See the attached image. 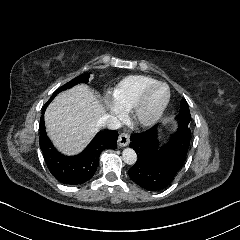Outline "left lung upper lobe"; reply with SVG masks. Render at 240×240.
I'll return each instance as SVG.
<instances>
[{"label":"left lung upper lobe","instance_id":"5c2ea615","mask_svg":"<svg viewBox=\"0 0 240 240\" xmlns=\"http://www.w3.org/2000/svg\"><path fill=\"white\" fill-rule=\"evenodd\" d=\"M180 105H181V108L179 110L177 119L181 122L189 124L191 115H190L188 104L184 98L181 100Z\"/></svg>","mask_w":240,"mask_h":240}]
</instances>
